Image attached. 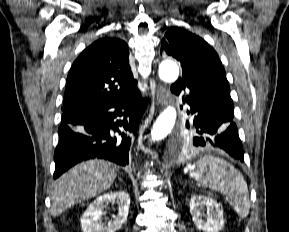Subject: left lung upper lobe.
Here are the masks:
<instances>
[{
	"instance_id": "left-lung-upper-lobe-1",
	"label": "left lung upper lobe",
	"mask_w": 289,
	"mask_h": 232,
	"mask_svg": "<svg viewBox=\"0 0 289 232\" xmlns=\"http://www.w3.org/2000/svg\"><path fill=\"white\" fill-rule=\"evenodd\" d=\"M160 53L180 61L183 72L182 78L177 82L189 88L205 90L232 102L224 67L215 50L202 38L178 27L171 28L161 42ZM191 138L190 134L182 135L181 147L188 149Z\"/></svg>"
}]
</instances>
